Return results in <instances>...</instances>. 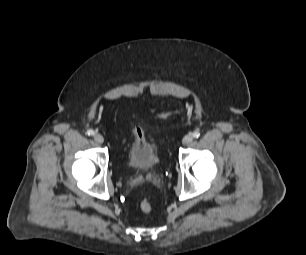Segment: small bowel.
I'll return each mask as SVG.
<instances>
[{
	"label": "small bowel",
	"instance_id": "obj_1",
	"mask_svg": "<svg viewBox=\"0 0 306 255\" xmlns=\"http://www.w3.org/2000/svg\"><path fill=\"white\" fill-rule=\"evenodd\" d=\"M134 136L136 137V139L141 140L143 139V132L140 129H136L134 132Z\"/></svg>",
	"mask_w": 306,
	"mask_h": 255
}]
</instances>
